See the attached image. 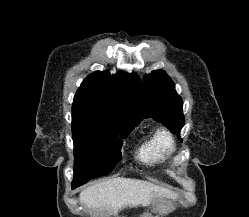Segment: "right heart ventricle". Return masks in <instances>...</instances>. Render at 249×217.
<instances>
[{
	"mask_svg": "<svg viewBox=\"0 0 249 217\" xmlns=\"http://www.w3.org/2000/svg\"><path fill=\"white\" fill-rule=\"evenodd\" d=\"M172 136L164 129H157L139 148L138 159L147 165L167 162L175 153Z\"/></svg>",
	"mask_w": 249,
	"mask_h": 217,
	"instance_id": "1",
	"label": "right heart ventricle"
}]
</instances>
